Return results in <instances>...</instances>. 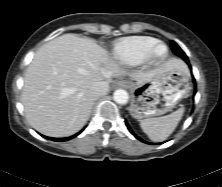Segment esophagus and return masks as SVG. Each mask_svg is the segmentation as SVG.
<instances>
[{
	"label": "esophagus",
	"instance_id": "1",
	"mask_svg": "<svg viewBox=\"0 0 222 187\" xmlns=\"http://www.w3.org/2000/svg\"><path fill=\"white\" fill-rule=\"evenodd\" d=\"M114 87H123V88H127L128 87V82L125 80H119L114 84Z\"/></svg>",
	"mask_w": 222,
	"mask_h": 187
}]
</instances>
